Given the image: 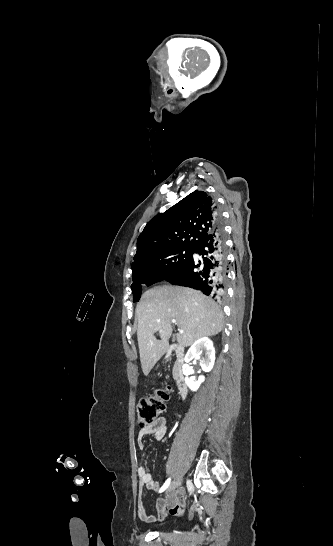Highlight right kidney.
Here are the masks:
<instances>
[{
	"instance_id": "1",
	"label": "right kidney",
	"mask_w": 333,
	"mask_h": 546,
	"mask_svg": "<svg viewBox=\"0 0 333 546\" xmlns=\"http://www.w3.org/2000/svg\"><path fill=\"white\" fill-rule=\"evenodd\" d=\"M203 348L206 350V355L205 358L200 361L201 368L203 371L209 372L212 370L215 362V349L213 347V342L209 338L203 337L195 341L185 355L186 364L183 365L182 372L186 376L185 382L187 386L192 391H196L200 387L201 383L205 380V377L200 376L198 380L191 379L189 375H192L194 373V370L189 362L193 359H197Z\"/></svg>"
}]
</instances>
